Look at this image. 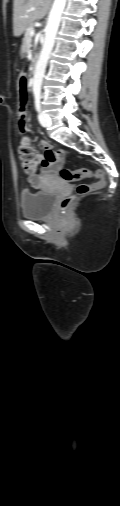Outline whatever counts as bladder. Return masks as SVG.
Masks as SVG:
<instances>
[{"label": "bladder", "instance_id": "1", "mask_svg": "<svg viewBox=\"0 0 120 506\" xmlns=\"http://www.w3.org/2000/svg\"><path fill=\"white\" fill-rule=\"evenodd\" d=\"M56 199L51 191H24L20 194L22 215L29 219H41L50 215Z\"/></svg>", "mask_w": 120, "mask_h": 506}]
</instances>
